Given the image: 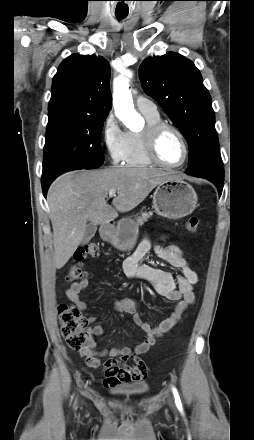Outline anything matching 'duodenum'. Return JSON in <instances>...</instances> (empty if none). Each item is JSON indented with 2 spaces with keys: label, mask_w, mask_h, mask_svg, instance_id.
<instances>
[{
  "label": "duodenum",
  "mask_w": 254,
  "mask_h": 440,
  "mask_svg": "<svg viewBox=\"0 0 254 440\" xmlns=\"http://www.w3.org/2000/svg\"><path fill=\"white\" fill-rule=\"evenodd\" d=\"M103 230H104V232L107 234V233L110 232V227H105Z\"/></svg>",
  "instance_id": "duodenum-1"
}]
</instances>
